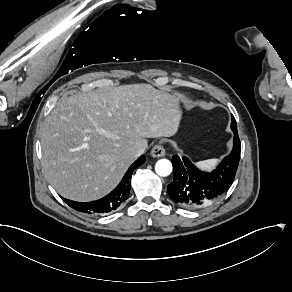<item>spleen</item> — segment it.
<instances>
[{
  "instance_id": "spleen-1",
  "label": "spleen",
  "mask_w": 292,
  "mask_h": 292,
  "mask_svg": "<svg viewBox=\"0 0 292 292\" xmlns=\"http://www.w3.org/2000/svg\"><path fill=\"white\" fill-rule=\"evenodd\" d=\"M219 162V159H209L204 161H199L195 163L197 167H199L201 170L211 171L214 169Z\"/></svg>"
}]
</instances>
